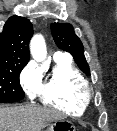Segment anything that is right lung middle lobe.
<instances>
[{
	"instance_id": "dd1d6c3e",
	"label": "right lung middle lobe",
	"mask_w": 117,
	"mask_h": 131,
	"mask_svg": "<svg viewBox=\"0 0 117 131\" xmlns=\"http://www.w3.org/2000/svg\"><path fill=\"white\" fill-rule=\"evenodd\" d=\"M24 66L20 64L0 66V103L16 102L24 98L19 83V74Z\"/></svg>"
}]
</instances>
